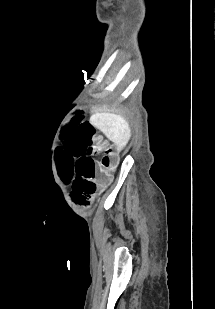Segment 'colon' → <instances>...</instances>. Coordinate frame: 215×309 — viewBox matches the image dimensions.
<instances>
[{"mask_svg":"<svg viewBox=\"0 0 215 309\" xmlns=\"http://www.w3.org/2000/svg\"><path fill=\"white\" fill-rule=\"evenodd\" d=\"M101 163L105 171L107 169L112 170L116 165L114 154L112 152H105L102 156Z\"/></svg>","mask_w":215,"mask_h":309,"instance_id":"1","label":"colon"}]
</instances>
